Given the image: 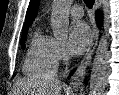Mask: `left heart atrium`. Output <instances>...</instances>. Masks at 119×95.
Masks as SVG:
<instances>
[{
    "mask_svg": "<svg viewBox=\"0 0 119 95\" xmlns=\"http://www.w3.org/2000/svg\"><path fill=\"white\" fill-rule=\"evenodd\" d=\"M91 41V32L83 21L72 22L69 30L68 50L72 55L82 54Z\"/></svg>",
    "mask_w": 119,
    "mask_h": 95,
    "instance_id": "1",
    "label": "left heart atrium"
}]
</instances>
